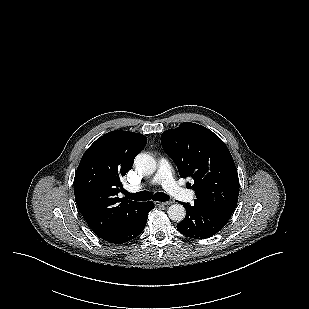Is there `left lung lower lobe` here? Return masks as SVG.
<instances>
[{
    "mask_svg": "<svg viewBox=\"0 0 309 309\" xmlns=\"http://www.w3.org/2000/svg\"><path fill=\"white\" fill-rule=\"evenodd\" d=\"M185 219L177 225L183 235L194 239H206L219 232L228 222L231 214L201 201L194 205L183 204Z\"/></svg>",
    "mask_w": 309,
    "mask_h": 309,
    "instance_id": "0a47b994",
    "label": "left lung lower lobe"
}]
</instances>
